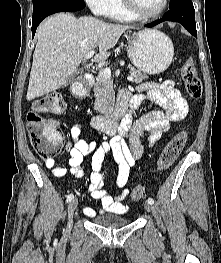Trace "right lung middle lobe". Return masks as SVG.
I'll return each instance as SVG.
<instances>
[{"mask_svg":"<svg viewBox=\"0 0 221 263\" xmlns=\"http://www.w3.org/2000/svg\"><path fill=\"white\" fill-rule=\"evenodd\" d=\"M79 2L83 0H33V13L53 5Z\"/></svg>","mask_w":221,"mask_h":263,"instance_id":"1","label":"right lung middle lobe"}]
</instances>
